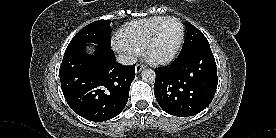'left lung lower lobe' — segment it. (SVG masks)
Instances as JSON below:
<instances>
[{"instance_id":"0a47b994","label":"left lung lower lobe","mask_w":276,"mask_h":138,"mask_svg":"<svg viewBox=\"0 0 276 138\" xmlns=\"http://www.w3.org/2000/svg\"><path fill=\"white\" fill-rule=\"evenodd\" d=\"M155 73V98L161 108L171 115L193 116L213 100L218 78L209 45H201L179 55L170 66Z\"/></svg>"}]
</instances>
